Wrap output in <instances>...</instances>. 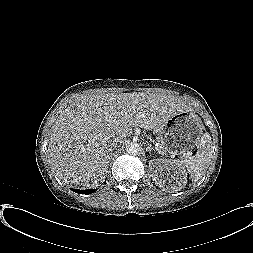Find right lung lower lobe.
Instances as JSON below:
<instances>
[{
  "label": "right lung lower lobe",
  "instance_id": "right-lung-lower-lobe-1",
  "mask_svg": "<svg viewBox=\"0 0 253 253\" xmlns=\"http://www.w3.org/2000/svg\"><path fill=\"white\" fill-rule=\"evenodd\" d=\"M74 192H76V193H79V194H88V193H92V192H94L95 191V189H91V190H84V191H82V190H78V189H72Z\"/></svg>",
  "mask_w": 253,
  "mask_h": 253
}]
</instances>
